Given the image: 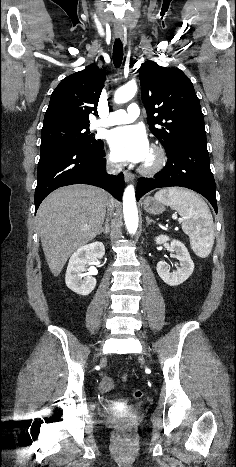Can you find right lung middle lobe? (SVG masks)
Returning a JSON list of instances; mask_svg holds the SVG:
<instances>
[{
    "mask_svg": "<svg viewBox=\"0 0 236 467\" xmlns=\"http://www.w3.org/2000/svg\"><path fill=\"white\" fill-rule=\"evenodd\" d=\"M89 134V125H63L41 131L40 150L61 144H73L88 149H97L103 142Z\"/></svg>",
    "mask_w": 236,
    "mask_h": 467,
    "instance_id": "right-lung-middle-lobe-1",
    "label": "right lung middle lobe"
}]
</instances>
